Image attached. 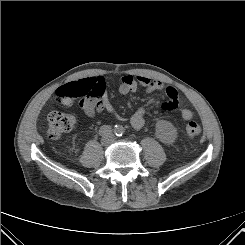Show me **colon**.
<instances>
[{"label":"colon","mask_w":245,"mask_h":245,"mask_svg":"<svg viewBox=\"0 0 245 245\" xmlns=\"http://www.w3.org/2000/svg\"><path fill=\"white\" fill-rule=\"evenodd\" d=\"M98 94L99 89L96 83L87 78L67 83L56 91L58 102L64 106L72 104L75 100H80L82 103L85 99ZM75 124L76 120L72 114L54 110L48 115V134L53 139L60 138L71 131ZM185 132L189 138H195L200 135L201 127L198 123L191 121L186 125Z\"/></svg>","instance_id":"colon-1"}]
</instances>
